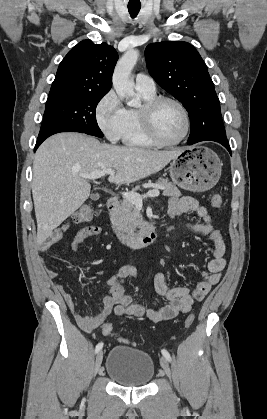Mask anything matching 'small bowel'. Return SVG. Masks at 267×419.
Instances as JSON below:
<instances>
[{
	"mask_svg": "<svg viewBox=\"0 0 267 419\" xmlns=\"http://www.w3.org/2000/svg\"><path fill=\"white\" fill-rule=\"evenodd\" d=\"M195 212L200 218V223H187L189 229L207 236L213 243L212 259L208 262L203 272V280L198 282L191 290L185 286L169 287L167 280L170 277L168 272H159L154 277L155 291L168 300V304L159 310L149 309L142 303H134L123 288L126 279L134 277L136 268L131 265L120 267L112 276L107 279L109 293L103 298V306L99 313L94 316H84L77 312L76 304L71 294L61 284L55 286L70 311L74 314L77 324L86 332H90L101 326L107 317L114 313L117 316H132L136 318L146 317L153 322L170 320L182 313H188L194 301H201L208 294L211 288L221 280L222 271L226 266L225 243L221 233L214 227L207 209L192 197L172 198L168 206V215L171 218H181L187 213ZM70 223H64L57 227L50 236L43 241L40 252L48 250L55 243L59 242ZM103 230L98 225H90L79 230L73 238L71 248L76 251L79 246L88 238L99 236ZM50 278H55L57 273L46 268Z\"/></svg>",
	"mask_w": 267,
	"mask_h": 419,
	"instance_id": "1",
	"label": "small bowel"
}]
</instances>
